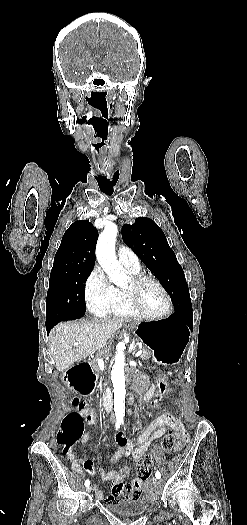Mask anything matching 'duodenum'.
<instances>
[{
    "instance_id": "duodenum-1",
    "label": "duodenum",
    "mask_w": 247,
    "mask_h": 525,
    "mask_svg": "<svg viewBox=\"0 0 247 525\" xmlns=\"http://www.w3.org/2000/svg\"><path fill=\"white\" fill-rule=\"evenodd\" d=\"M67 384L87 396L93 393L96 386V374L90 361H81L67 371L65 376ZM113 406L112 392L107 391L100 402L102 410L109 412Z\"/></svg>"
}]
</instances>
